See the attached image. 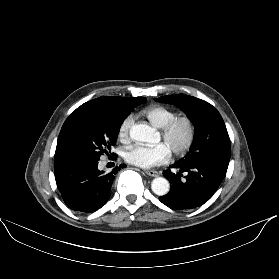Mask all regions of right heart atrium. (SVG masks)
<instances>
[{"label":"right heart atrium","mask_w":279,"mask_h":279,"mask_svg":"<svg viewBox=\"0 0 279 279\" xmlns=\"http://www.w3.org/2000/svg\"><path fill=\"white\" fill-rule=\"evenodd\" d=\"M134 123L133 115L129 114L123 118L118 128V137L122 141L129 140L130 130Z\"/></svg>","instance_id":"right-heart-atrium-1"}]
</instances>
